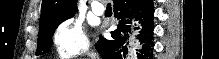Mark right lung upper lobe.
<instances>
[{"label":"right lung upper lobe","instance_id":"cb5924a9","mask_svg":"<svg viewBox=\"0 0 219 59\" xmlns=\"http://www.w3.org/2000/svg\"><path fill=\"white\" fill-rule=\"evenodd\" d=\"M77 10V0H43L39 28L72 17Z\"/></svg>","mask_w":219,"mask_h":59}]
</instances>
